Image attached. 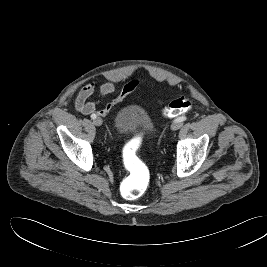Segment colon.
<instances>
[{
	"mask_svg": "<svg viewBox=\"0 0 267 267\" xmlns=\"http://www.w3.org/2000/svg\"><path fill=\"white\" fill-rule=\"evenodd\" d=\"M193 102L189 97H180L173 100L162 113L166 117H176L192 108ZM142 139L135 137L123 147V161L128 176L121 185V193L127 199H136L146 190L149 183V171L138 157V150Z\"/></svg>",
	"mask_w": 267,
	"mask_h": 267,
	"instance_id": "1",
	"label": "colon"
}]
</instances>
